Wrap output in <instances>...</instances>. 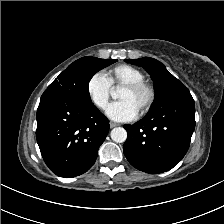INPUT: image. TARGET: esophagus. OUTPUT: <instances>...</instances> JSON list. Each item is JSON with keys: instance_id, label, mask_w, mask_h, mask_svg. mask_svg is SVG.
Masks as SVG:
<instances>
[{"instance_id": "obj_1", "label": "esophagus", "mask_w": 224, "mask_h": 224, "mask_svg": "<svg viewBox=\"0 0 224 224\" xmlns=\"http://www.w3.org/2000/svg\"><path fill=\"white\" fill-rule=\"evenodd\" d=\"M117 126H119L118 123L110 122V128H114V127H117Z\"/></svg>"}]
</instances>
